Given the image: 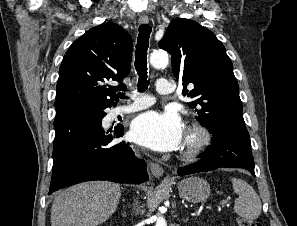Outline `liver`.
Here are the masks:
<instances>
[{
  "instance_id": "obj_1",
  "label": "liver",
  "mask_w": 297,
  "mask_h": 226,
  "mask_svg": "<svg viewBox=\"0 0 297 226\" xmlns=\"http://www.w3.org/2000/svg\"><path fill=\"white\" fill-rule=\"evenodd\" d=\"M120 186L110 182H87L61 192L51 209V226H97L116 210Z\"/></svg>"
}]
</instances>
